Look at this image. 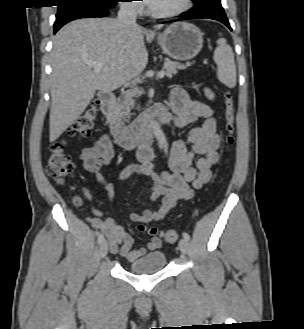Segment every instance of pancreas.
Segmentation results:
<instances>
[{
    "mask_svg": "<svg viewBox=\"0 0 304 329\" xmlns=\"http://www.w3.org/2000/svg\"><path fill=\"white\" fill-rule=\"evenodd\" d=\"M165 66V75L168 78H171L174 74H177V69H185L186 65L180 63L171 61L170 59H165L164 61ZM141 95V92L137 89H130L127 90L119 99L118 103V110L123 115L124 118L130 117V108L134 107L135 105V98H138Z\"/></svg>",
    "mask_w": 304,
    "mask_h": 329,
    "instance_id": "cf45deb5",
    "label": "pancreas"
}]
</instances>
